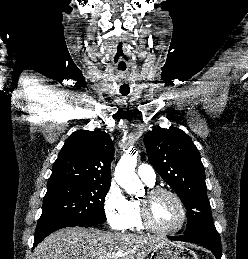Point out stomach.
<instances>
[{
  "label": "stomach",
  "instance_id": "stomach-1",
  "mask_svg": "<svg viewBox=\"0 0 248 259\" xmlns=\"http://www.w3.org/2000/svg\"><path fill=\"white\" fill-rule=\"evenodd\" d=\"M150 259H198V256L182 244L167 242L154 249Z\"/></svg>",
  "mask_w": 248,
  "mask_h": 259
}]
</instances>
